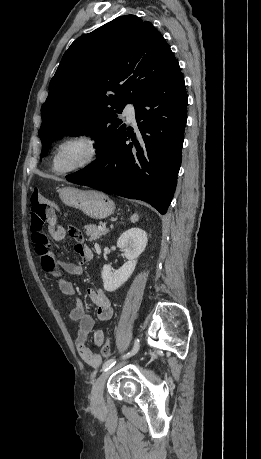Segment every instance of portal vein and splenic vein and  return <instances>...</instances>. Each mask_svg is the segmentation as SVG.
<instances>
[{
    "label": "portal vein and splenic vein",
    "mask_w": 261,
    "mask_h": 459,
    "mask_svg": "<svg viewBox=\"0 0 261 459\" xmlns=\"http://www.w3.org/2000/svg\"><path fill=\"white\" fill-rule=\"evenodd\" d=\"M98 229L103 230V231H107L106 227H104V226H98Z\"/></svg>",
    "instance_id": "obj_1"
}]
</instances>
